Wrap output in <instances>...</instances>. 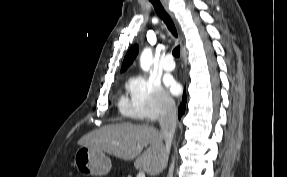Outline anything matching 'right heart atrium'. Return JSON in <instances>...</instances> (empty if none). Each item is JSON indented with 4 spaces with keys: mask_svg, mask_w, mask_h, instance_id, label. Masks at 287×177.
Here are the masks:
<instances>
[{
    "mask_svg": "<svg viewBox=\"0 0 287 177\" xmlns=\"http://www.w3.org/2000/svg\"><path fill=\"white\" fill-rule=\"evenodd\" d=\"M134 116L141 122H154L160 116L171 113L174 101L163 88L160 80L153 76H139L130 80Z\"/></svg>",
    "mask_w": 287,
    "mask_h": 177,
    "instance_id": "obj_1",
    "label": "right heart atrium"
}]
</instances>
